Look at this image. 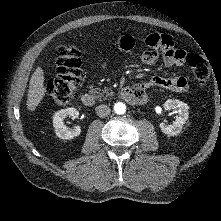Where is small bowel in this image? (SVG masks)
I'll list each match as a JSON object with an SVG mask.
<instances>
[{"mask_svg":"<svg viewBox=\"0 0 221 221\" xmlns=\"http://www.w3.org/2000/svg\"><path fill=\"white\" fill-rule=\"evenodd\" d=\"M145 44L147 49L142 54V62L144 64L151 65L155 63L159 55H161L167 67H181L186 59V53L175 48L170 35L152 33L146 37ZM115 46L121 51H131L135 46V40L132 36L124 35L116 41ZM107 60V57L103 59L99 69H103L106 66ZM153 88L183 93L188 90V82L182 76L170 78L154 77L147 82L133 86V89L140 95L143 102L147 97L146 91Z\"/></svg>","mask_w":221,"mask_h":221,"instance_id":"obj_1","label":"small bowel"}]
</instances>
